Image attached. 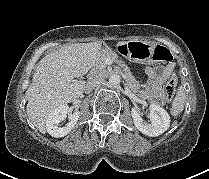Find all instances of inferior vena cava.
Instances as JSON below:
<instances>
[{"label": "inferior vena cava", "instance_id": "inferior-vena-cava-1", "mask_svg": "<svg viewBox=\"0 0 209 179\" xmlns=\"http://www.w3.org/2000/svg\"><path fill=\"white\" fill-rule=\"evenodd\" d=\"M102 83H103V80L100 78H94L88 81L86 88H85V92L90 93L95 87L101 85Z\"/></svg>", "mask_w": 209, "mask_h": 179}]
</instances>
